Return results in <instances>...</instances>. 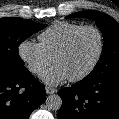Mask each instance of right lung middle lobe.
Masks as SVG:
<instances>
[{
	"mask_svg": "<svg viewBox=\"0 0 119 119\" xmlns=\"http://www.w3.org/2000/svg\"><path fill=\"white\" fill-rule=\"evenodd\" d=\"M46 25L30 19L7 17L0 19V69H20L24 62L18 53V46L30 35Z\"/></svg>",
	"mask_w": 119,
	"mask_h": 119,
	"instance_id": "dd1d6c3e",
	"label": "right lung middle lobe"
}]
</instances>
